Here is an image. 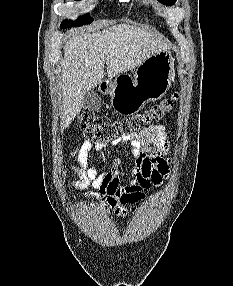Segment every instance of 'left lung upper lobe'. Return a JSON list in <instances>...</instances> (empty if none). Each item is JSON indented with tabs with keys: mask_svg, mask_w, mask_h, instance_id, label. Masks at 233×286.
<instances>
[{
	"mask_svg": "<svg viewBox=\"0 0 233 286\" xmlns=\"http://www.w3.org/2000/svg\"><path fill=\"white\" fill-rule=\"evenodd\" d=\"M159 1L169 6L173 5L176 2V0H159Z\"/></svg>",
	"mask_w": 233,
	"mask_h": 286,
	"instance_id": "left-lung-upper-lobe-1",
	"label": "left lung upper lobe"
}]
</instances>
